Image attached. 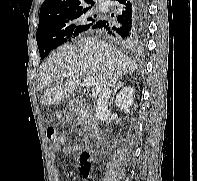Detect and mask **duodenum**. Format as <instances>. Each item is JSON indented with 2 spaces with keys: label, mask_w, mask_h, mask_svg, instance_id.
<instances>
[{
  "label": "duodenum",
  "mask_w": 197,
  "mask_h": 181,
  "mask_svg": "<svg viewBox=\"0 0 197 181\" xmlns=\"http://www.w3.org/2000/svg\"><path fill=\"white\" fill-rule=\"evenodd\" d=\"M71 109L74 112H77V113H80L81 115H83L89 124L91 114L87 111L86 107L81 102L73 101L71 103Z\"/></svg>",
  "instance_id": "duodenum-1"
}]
</instances>
